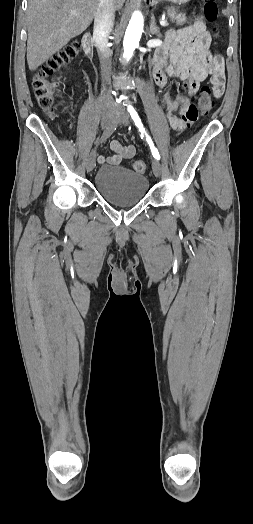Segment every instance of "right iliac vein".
Instances as JSON below:
<instances>
[{"instance_id":"63e3f726","label":"right iliac vein","mask_w":253,"mask_h":524,"mask_svg":"<svg viewBox=\"0 0 253 524\" xmlns=\"http://www.w3.org/2000/svg\"><path fill=\"white\" fill-rule=\"evenodd\" d=\"M114 117V110L111 108L105 109L102 113L101 117V126L102 128H106L109 126L111 121ZM96 162V151L93 150L90 155L88 156L87 162H86V169L88 172H91L95 167Z\"/></svg>"}]
</instances>
